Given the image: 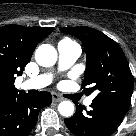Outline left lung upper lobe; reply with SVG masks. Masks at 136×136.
<instances>
[{
	"label": "left lung upper lobe",
	"mask_w": 136,
	"mask_h": 136,
	"mask_svg": "<svg viewBox=\"0 0 136 136\" xmlns=\"http://www.w3.org/2000/svg\"><path fill=\"white\" fill-rule=\"evenodd\" d=\"M61 31L80 39L87 53V66L82 87L86 93L97 90L94 100L128 108L133 77L120 46L102 32L90 27H67Z\"/></svg>",
	"instance_id": "1"
}]
</instances>
